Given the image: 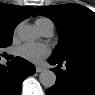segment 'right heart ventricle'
I'll list each match as a JSON object with an SVG mask.
<instances>
[{"label": "right heart ventricle", "instance_id": "e07e8e85", "mask_svg": "<svg viewBox=\"0 0 95 95\" xmlns=\"http://www.w3.org/2000/svg\"><path fill=\"white\" fill-rule=\"evenodd\" d=\"M47 24H53L51 20L47 18H39L36 20V26L38 29L42 28L43 26Z\"/></svg>", "mask_w": 95, "mask_h": 95}]
</instances>
